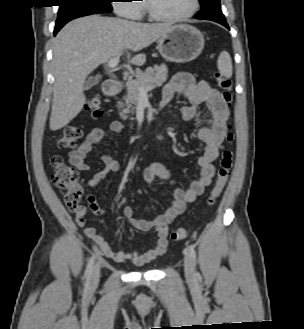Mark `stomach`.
I'll return each instance as SVG.
<instances>
[{
  "label": "stomach",
  "instance_id": "obj_1",
  "mask_svg": "<svg viewBox=\"0 0 304 329\" xmlns=\"http://www.w3.org/2000/svg\"><path fill=\"white\" fill-rule=\"evenodd\" d=\"M203 48V34L186 24L172 26L158 41L161 56L175 63H186L196 59Z\"/></svg>",
  "mask_w": 304,
  "mask_h": 329
}]
</instances>
